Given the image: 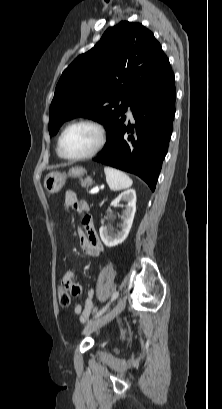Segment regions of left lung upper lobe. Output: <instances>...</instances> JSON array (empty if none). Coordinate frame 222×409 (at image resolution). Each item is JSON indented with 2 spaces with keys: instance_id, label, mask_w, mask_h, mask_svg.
Wrapping results in <instances>:
<instances>
[{
  "instance_id": "1",
  "label": "left lung upper lobe",
  "mask_w": 222,
  "mask_h": 409,
  "mask_svg": "<svg viewBox=\"0 0 222 409\" xmlns=\"http://www.w3.org/2000/svg\"><path fill=\"white\" fill-rule=\"evenodd\" d=\"M170 70L160 43L142 24L122 21L108 28L62 73L49 109L50 136L78 116L108 131L132 98Z\"/></svg>"
}]
</instances>
